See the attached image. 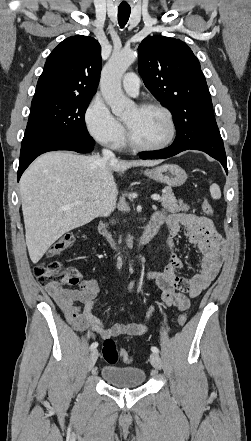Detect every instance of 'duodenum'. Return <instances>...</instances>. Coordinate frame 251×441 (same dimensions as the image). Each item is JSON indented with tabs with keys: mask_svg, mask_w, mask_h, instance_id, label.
Instances as JSON below:
<instances>
[{
	"mask_svg": "<svg viewBox=\"0 0 251 441\" xmlns=\"http://www.w3.org/2000/svg\"><path fill=\"white\" fill-rule=\"evenodd\" d=\"M160 226H161V222L157 220L155 217H152L149 223L147 224L143 234L139 237L138 243L141 245L148 243L158 233ZM99 232L108 240V242L111 245L113 246L116 245L114 238L108 232L105 225L101 224L99 226Z\"/></svg>",
	"mask_w": 251,
	"mask_h": 441,
	"instance_id": "1",
	"label": "duodenum"
}]
</instances>
